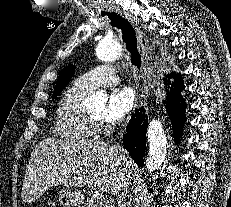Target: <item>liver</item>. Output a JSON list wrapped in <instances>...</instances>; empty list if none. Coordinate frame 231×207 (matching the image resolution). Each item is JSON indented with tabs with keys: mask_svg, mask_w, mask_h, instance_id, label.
Here are the masks:
<instances>
[{
	"mask_svg": "<svg viewBox=\"0 0 231 207\" xmlns=\"http://www.w3.org/2000/svg\"><path fill=\"white\" fill-rule=\"evenodd\" d=\"M125 154V153H124ZM126 156V154H125ZM107 143L48 138L31 153L22 187L23 202L37 200L48 188L64 185L117 194L129 184L132 170Z\"/></svg>",
	"mask_w": 231,
	"mask_h": 207,
	"instance_id": "liver-1",
	"label": "liver"
}]
</instances>
